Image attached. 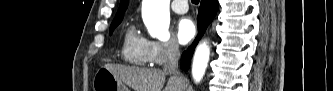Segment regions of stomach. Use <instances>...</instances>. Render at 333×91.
Here are the masks:
<instances>
[{"label":"stomach","instance_id":"0dacf381","mask_svg":"<svg viewBox=\"0 0 333 91\" xmlns=\"http://www.w3.org/2000/svg\"><path fill=\"white\" fill-rule=\"evenodd\" d=\"M93 91H129L108 69L101 67L93 79Z\"/></svg>","mask_w":333,"mask_h":91}]
</instances>
